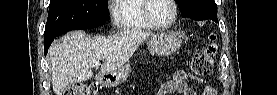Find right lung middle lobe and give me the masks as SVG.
<instances>
[{
	"mask_svg": "<svg viewBox=\"0 0 277 95\" xmlns=\"http://www.w3.org/2000/svg\"><path fill=\"white\" fill-rule=\"evenodd\" d=\"M108 0H50L44 40L77 29L103 25L109 18Z\"/></svg>",
	"mask_w": 277,
	"mask_h": 95,
	"instance_id": "obj_1",
	"label": "right lung middle lobe"
}]
</instances>
